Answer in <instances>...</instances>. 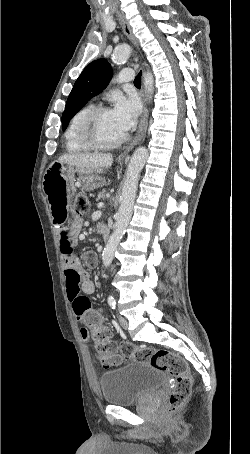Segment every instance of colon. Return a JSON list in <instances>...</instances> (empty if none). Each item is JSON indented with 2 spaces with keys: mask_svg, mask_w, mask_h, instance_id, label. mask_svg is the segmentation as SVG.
<instances>
[{
  "mask_svg": "<svg viewBox=\"0 0 250 454\" xmlns=\"http://www.w3.org/2000/svg\"><path fill=\"white\" fill-rule=\"evenodd\" d=\"M90 208L89 197L78 192L75 196L74 214L81 216ZM93 348L105 366L119 364L123 359L132 358L138 362L150 364L155 369L171 375L174 388L169 398L168 410L178 411L191 394L193 378L186 360L178 353L150 347H137L132 343H123L119 347L111 341V331L104 323V317L92 315L88 319Z\"/></svg>",
  "mask_w": 250,
  "mask_h": 454,
  "instance_id": "colon-1",
  "label": "colon"
}]
</instances>
